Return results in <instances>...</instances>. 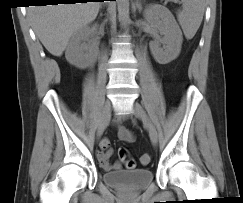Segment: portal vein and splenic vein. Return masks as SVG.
I'll use <instances>...</instances> for the list:
<instances>
[{"label":"portal vein and splenic vein","instance_id":"1","mask_svg":"<svg viewBox=\"0 0 243 203\" xmlns=\"http://www.w3.org/2000/svg\"><path fill=\"white\" fill-rule=\"evenodd\" d=\"M168 1H177V0H168Z\"/></svg>","mask_w":243,"mask_h":203}]
</instances>
